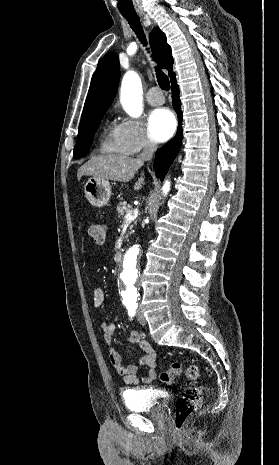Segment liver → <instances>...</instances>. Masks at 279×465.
I'll use <instances>...</instances> for the list:
<instances>
[{
    "mask_svg": "<svg viewBox=\"0 0 279 465\" xmlns=\"http://www.w3.org/2000/svg\"><path fill=\"white\" fill-rule=\"evenodd\" d=\"M142 165L143 162L139 159L125 155H96L78 169L77 178L80 180L82 176H92L98 179L128 182ZM143 176L142 173L134 185V190H139L144 185Z\"/></svg>",
    "mask_w": 279,
    "mask_h": 465,
    "instance_id": "obj_1",
    "label": "liver"
}]
</instances>
